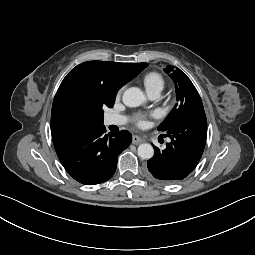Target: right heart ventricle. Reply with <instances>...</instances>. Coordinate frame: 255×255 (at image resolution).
Listing matches in <instances>:
<instances>
[{
    "label": "right heart ventricle",
    "mask_w": 255,
    "mask_h": 255,
    "mask_svg": "<svg viewBox=\"0 0 255 255\" xmlns=\"http://www.w3.org/2000/svg\"><path fill=\"white\" fill-rule=\"evenodd\" d=\"M142 81L148 94L153 92L160 93L165 86V80L163 76L155 71L146 73L143 76Z\"/></svg>",
    "instance_id": "1"
}]
</instances>
